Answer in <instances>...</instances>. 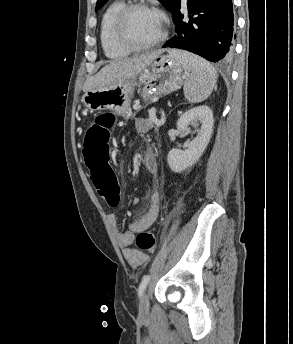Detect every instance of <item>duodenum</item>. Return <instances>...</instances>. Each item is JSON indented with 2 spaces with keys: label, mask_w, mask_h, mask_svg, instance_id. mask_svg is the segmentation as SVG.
<instances>
[{
  "label": "duodenum",
  "mask_w": 293,
  "mask_h": 344,
  "mask_svg": "<svg viewBox=\"0 0 293 344\" xmlns=\"http://www.w3.org/2000/svg\"><path fill=\"white\" fill-rule=\"evenodd\" d=\"M143 162L146 164H149L151 162V158L150 156H148L147 154H145L144 158H143Z\"/></svg>",
  "instance_id": "410a0bca"
}]
</instances>
